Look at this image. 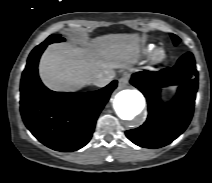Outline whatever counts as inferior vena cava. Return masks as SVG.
I'll return each instance as SVG.
<instances>
[{"label":"inferior vena cava","mask_w":212,"mask_h":183,"mask_svg":"<svg viewBox=\"0 0 212 183\" xmlns=\"http://www.w3.org/2000/svg\"><path fill=\"white\" fill-rule=\"evenodd\" d=\"M114 75V72L109 70L99 72L93 77L92 83L97 87H104L111 82Z\"/></svg>","instance_id":"1"}]
</instances>
